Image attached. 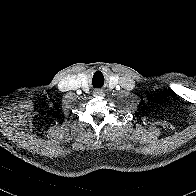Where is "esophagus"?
Listing matches in <instances>:
<instances>
[{
	"instance_id": "1",
	"label": "esophagus",
	"mask_w": 196,
	"mask_h": 196,
	"mask_svg": "<svg viewBox=\"0 0 196 196\" xmlns=\"http://www.w3.org/2000/svg\"><path fill=\"white\" fill-rule=\"evenodd\" d=\"M93 94H94L95 97H97L99 95H102L103 94V91L100 90V89H96Z\"/></svg>"
}]
</instances>
